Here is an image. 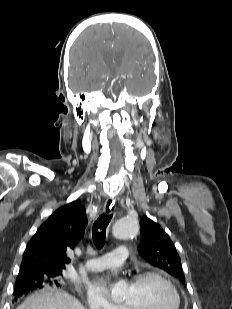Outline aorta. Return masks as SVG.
<instances>
[{"label":"aorta","mask_w":232,"mask_h":309,"mask_svg":"<svg viewBox=\"0 0 232 309\" xmlns=\"http://www.w3.org/2000/svg\"><path fill=\"white\" fill-rule=\"evenodd\" d=\"M138 233V223L135 219L124 217L119 219L114 225V235L119 239H127L136 236ZM125 282L119 281L112 288V299L120 301L123 299Z\"/></svg>","instance_id":"obj_1"}]
</instances>
